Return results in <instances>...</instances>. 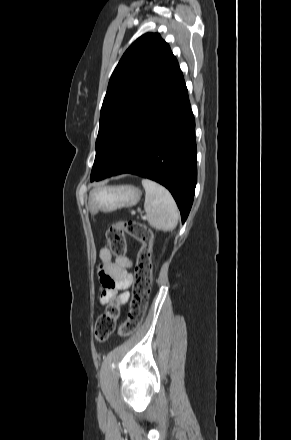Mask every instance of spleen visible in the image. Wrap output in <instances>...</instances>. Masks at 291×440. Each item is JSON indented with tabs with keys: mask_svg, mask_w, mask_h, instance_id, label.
<instances>
[{
	"mask_svg": "<svg viewBox=\"0 0 291 440\" xmlns=\"http://www.w3.org/2000/svg\"><path fill=\"white\" fill-rule=\"evenodd\" d=\"M142 185L145 189L144 209L149 225L157 230H174L178 223L179 211L171 193L149 179H143Z\"/></svg>",
	"mask_w": 291,
	"mask_h": 440,
	"instance_id": "1",
	"label": "spleen"
}]
</instances>
